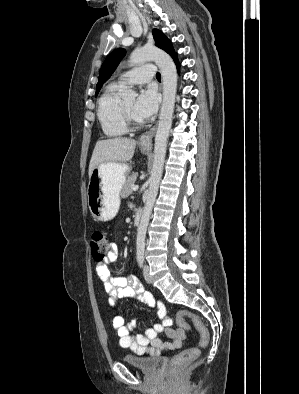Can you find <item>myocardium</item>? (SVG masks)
<instances>
[{"label":"myocardium","mask_w":299,"mask_h":394,"mask_svg":"<svg viewBox=\"0 0 299 394\" xmlns=\"http://www.w3.org/2000/svg\"><path fill=\"white\" fill-rule=\"evenodd\" d=\"M121 114L127 128L133 129L140 125L139 119L135 118L128 112L123 102H121Z\"/></svg>","instance_id":"myocardium-1"}]
</instances>
